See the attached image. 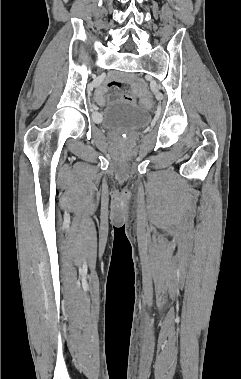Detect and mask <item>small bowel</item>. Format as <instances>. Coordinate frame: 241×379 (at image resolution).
Instances as JSON below:
<instances>
[{
	"instance_id": "c3829d8e",
	"label": "small bowel",
	"mask_w": 241,
	"mask_h": 379,
	"mask_svg": "<svg viewBox=\"0 0 241 379\" xmlns=\"http://www.w3.org/2000/svg\"><path fill=\"white\" fill-rule=\"evenodd\" d=\"M120 87V88H127L129 85L126 82L115 80V79H109L107 80L102 87L96 90L95 93V99L99 105H105L106 98L105 93L108 89L112 87ZM123 100L126 102L134 103L136 102V98L131 95H124Z\"/></svg>"
}]
</instances>
